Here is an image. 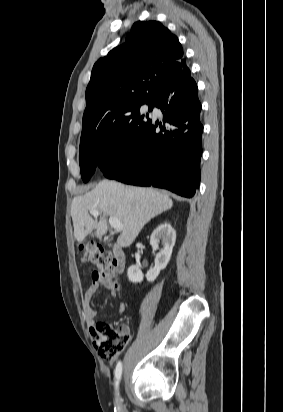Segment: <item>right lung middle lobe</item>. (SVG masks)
<instances>
[{
  "mask_svg": "<svg viewBox=\"0 0 283 412\" xmlns=\"http://www.w3.org/2000/svg\"><path fill=\"white\" fill-rule=\"evenodd\" d=\"M142 105L129 110L111 129L84 137L80 140L79 163L84 182H88L97 166L102 167L127 154L134 141L151 121ZM149 111L155 106L147 103Z\"/></svg>",
  "mask_w": 283,
  "mask_h": 412,
  "instance_id": "dd1d6c3e",
  "label": "right lung middle lobe"
}]
</instances>
